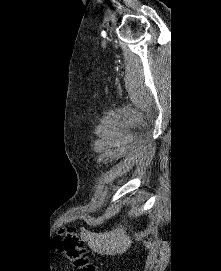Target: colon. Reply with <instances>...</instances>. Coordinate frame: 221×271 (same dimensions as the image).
<instances>
[{
    "instance_id": "obj_1",
    "label": "colon",
    "mask_w": 221,
    "mask_h": 271,
    "mask_svg": "<svg viewBox=\"0 0 221 271\" xmlns=\"http://www.w3.org/2000/svg\"><path fill=\"white\" fill-rule=\"evenodd\" d=\"M56 242L77 271H98L96 264L87 254L83 239L76 230L71 227L60 229L56 234Z\"/></svg>"
}]
</instances>
